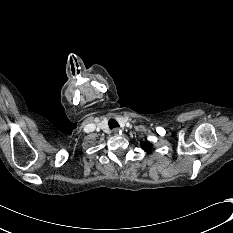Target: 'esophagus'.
Wrapping results in <instances>:
<instances>
[{
  "label": "esophagus",
  "mask_w": 233,
  "mask_h": 233,
  "mask_svg": "<svg viewBox=\"0 0 233 233\" xmlns=\"http://www.w3.org/2000/svg\"><path fill=\"white\" fill-rule=\"evenodd\" d=\"M113 131H114V134H115V135H119V134L122 133L121 130L118 129V128H115Z\"/></svg>",
  "instance_id": "34e87169"
}]
</instances>
